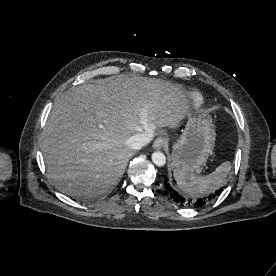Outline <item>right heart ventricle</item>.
I'll return each mask as SVG.
<instances>
[{"mask_svg":"<svg viewBox=\"0 0 276 276\" xmlns=\"http://www.w3.org/2000/svg\"><path fill=\"white\" fill-rule=\"evenodd\" d=\"M193 102L195 105H200L202 103V98L199 95H194L193 96Z\"/></svg>","mask_w":276,"mask_h":276,"instance_id":"right-heart-ventricle-1","label":"right heart ventricle"}]
</instances>
